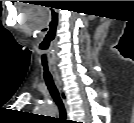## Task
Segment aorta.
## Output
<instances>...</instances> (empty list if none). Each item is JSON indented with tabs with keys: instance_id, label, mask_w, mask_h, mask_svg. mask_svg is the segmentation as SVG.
Wrapping results in <instances>:
<instances>
[{
	"instance_id": "obj_1",
	"label": "aorta",
	"mask_w": 134,
	"mask_h": 123,
	"mask_svg": "<svg viewBox=\"0 0 134 123\" xmlns=\"http://www.w3.org/2000/svg\"><path fill=\"white\" fill-rule=\"evenodd\" d=\"M42 110H43V112H51V114H53L52 107L49 104L43 105Z\"/></svg>"
}]
</instances>
